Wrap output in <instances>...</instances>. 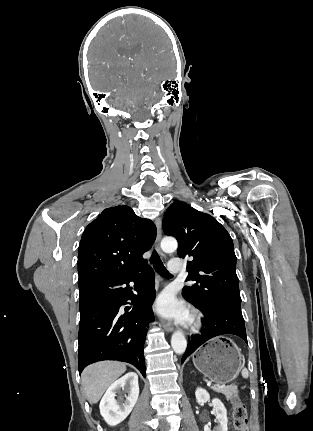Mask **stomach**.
<instances>
[{
  "instance_id": "obj_1",
  "label": "stomach",
  "mask_w": 313,
  "mask_h": 431,
  "mask_svg": "<svg viewBox=\"0 0 313 431\" xmlns=\"http://www.w3.org/2000/svg\"><path fill=\"white\" fill-rule=\"evenodd\" d=\"M194 366L216 385L231 382L242 367V355L226 337L210 340L193 355Z\"/></svg>"
}]
</instances>
